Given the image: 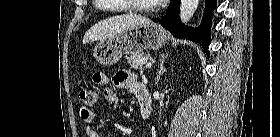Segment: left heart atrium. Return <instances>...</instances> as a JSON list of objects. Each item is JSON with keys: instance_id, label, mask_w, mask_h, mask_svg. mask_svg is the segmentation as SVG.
I'll return each mask as SVG.
<instances>
[{"instance_id": "1", "label": "left heart atrium", "mask_w": 280, "mask_h": 137, "mask_svg": "<svg viewBox=\"0 0 280 137\" xmlns=\"http://www.w3.org/2000/svg\"><path fill=\"white\" fill-rule=\"evenodd\" d=\"M154 4H164L167 0H151Z\"/></svg>"}]
</instances>
